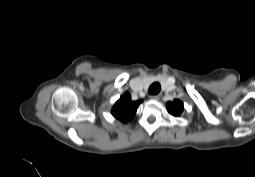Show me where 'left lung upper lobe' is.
Masks as SVG:
<instances>
[{
    "label": "left lung upper lobe",
    "mask_w": 255,
    "mask_h": 177,
    "mask_svg": "<svg viewBox=\"0 0 255 177\" xmlns=\"http://www.w3.org/2000/svg\"><path fill=\"white\" fill-rule=\"evenodd\" d=\"M167 110L175 117L180 116L184 110L183 102L178 99H174L172 102H167Z\"/></svg>",
    "instance_id": "left-lung-upper-lobe-1"
}]
</instances>
